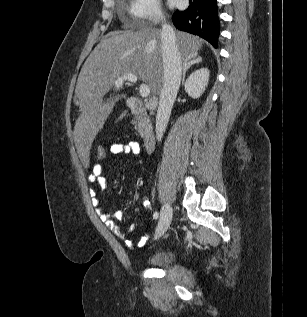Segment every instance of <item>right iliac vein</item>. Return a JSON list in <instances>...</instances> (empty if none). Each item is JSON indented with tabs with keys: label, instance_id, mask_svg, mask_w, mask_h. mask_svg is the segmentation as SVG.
Here are the masks:
<instances>
[{
	"label": "right iliac vein",
	"instance_id": "obj_1",
	"mask_svg": "<svg viewBox=\"0 0 307 317\" xmlns=\"http://www.w3.org/2000/svg\"><path fill=\"white\" fill-rule=\"evenodd\" d=\"M172 220V208L169 204L162 207L160 219L156 229V238L161 237L169 228Z\"/></svg>",
	"mask_w": 307,
	"mask_h": 317
}]
</instances>
